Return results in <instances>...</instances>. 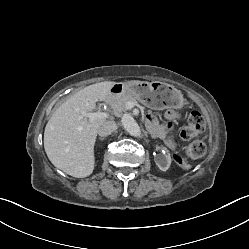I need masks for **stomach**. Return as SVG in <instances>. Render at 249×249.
<instances>
[{
  "mask_svg": "<svg viewBox=\"0 0 249 249\" xmlns=\"http://www.w3.org/2000/svg\"><path fill=\"white\" fill-rule=\"evenodd\" d=\"M110 91L114 95H130L154 110L181 109L184 106V97L181 91L170 84L159 81L116 83L110 88Z\"/></svg>",
  "mask_w": 249,
  "mask_h": 249,
  "instance_id": "stomach-1",
  "label": "stomach"
}]
</instances>
